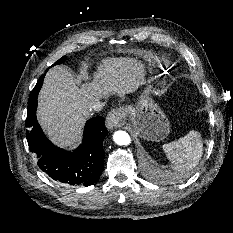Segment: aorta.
<instances>
[{
    "mask_svg": "<svg viewBox=\"0 0 233 233\" xmlns=\"http://www.w3.org/2000/svg\"><path fill=\"white\" fill-rule=\"evenodd\" d=\"M113 140L118 145H129L131 143V138L129 134L125 131H116L113 135Z\"/></svg>",
    "mask_w": 233,
    "mask_h": 233,
    "instance_id": "1",
    "label": "aorta"
}]
</instances>
